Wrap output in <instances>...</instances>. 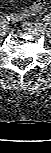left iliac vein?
Segmentation results:
<instances>
[{
	"instance_id": "4c4485c4",
	"label": "left iliac vein",
	"mask_w": 51,
	"mask_h": 153,
	"mask_svg": "<svg viewBox=\"0 0 51 153\" xmlns=\"http://www.w3.org/2000/svg\"><path fill=\"white\" fill-rule=\"evenodd\" d=\"M26 27L30 30H39L42 32H49L50 28L48 24H44V23H39V22H35V23H27Z\"/></svg>"
}]
</instances>
